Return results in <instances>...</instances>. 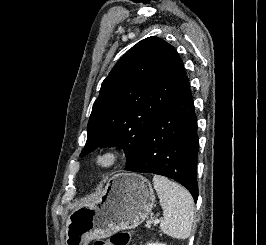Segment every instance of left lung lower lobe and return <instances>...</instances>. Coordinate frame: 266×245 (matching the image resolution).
Wrapping results in <instances>:
<instances>
[{
    "instance_id": "0a47b994",
    "label": "left lung lower lobe",
    "mask_w": 266,
    "mask_h": 245,
    "mask_svg": "<svg viewBox=\"0 0 266 245\" xmlns=\"http://www.w3.org/2000/svg\"><path fill=\"white\" fill-rule=\"evenodd\" d=\"M198 150L197 117L185 76L145 133L136 160L124 170L174 179L190 191L196 202Z\"/></svg>"
}]
</instances>
